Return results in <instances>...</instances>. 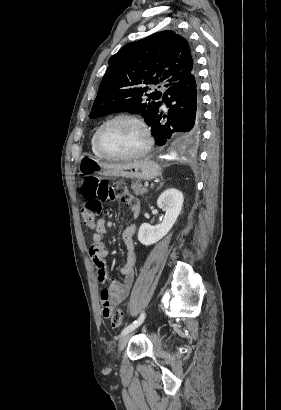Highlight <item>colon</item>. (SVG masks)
<instances>
[{"label":"colon","mask_w":281,"mask_h":410,"mask_svg":"<svg viewBox=\"0 0 281 410\" xmlns=\"http://www.w3.org/2000/svg\"><path fill=\"white\" fill-rule=\"evenodd\" d=\"M117 195H125L122 185L110 186L105 180L97 177H89L84 180L82 185V219L87 226H92L95 217L101 211V201L114 200ZM123 323V311L116 310L111 317V326L118 329Z\"/></svg>","instance_id":"obj_1"}]
</instances>
